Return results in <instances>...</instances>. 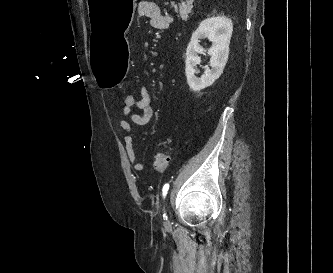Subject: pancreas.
<instances>
[{
    "mask_svg": "<svg viewBox=\"0 0 333 273\" xmlns=\"http://www.w3.org/2000/svg\"><path fill=\"white\" fill-rule=\"evenodd\" d=\"M194 0H188L186 3H181L179 5V8H177L175 5L174 6L176 11H179L178 17H180L182 20H187L188 15L191 12V9L193 7L192 3Z\"/></svg>",
    "mask_w": 333,
    "mask_h": 273,
    "instance_id": "cf45deb5",
    "label": "pancreas"
}]
</instances>
